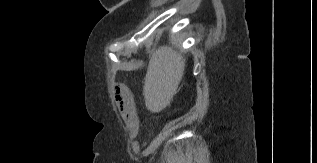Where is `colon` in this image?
<instances>
[{"label": "colon", "instance_id": "5ec220e1", "mask_svg": "<svg viewBox=\"0 0 317 163\" xmlns=\"http://www.w3.org/2000/svg\"><path fill=\"white\" fill-rule=\"evenodd\" d=\"M128 90L125 86H117L116 87V102L117 98L121 99V101H127L128 99Z\"/></svg>", "mask_w": 317, "mask_h": 163}]
</instances>
